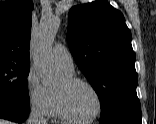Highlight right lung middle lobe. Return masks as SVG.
I'll return each instance as SVG.
<instances>
[{"instance_id":"obj_1","label":"right lung middle lobe","mask_w":156,"mask_h":124,"mask_svg":"<svg viewBox=\"0 0 156 124\" xmlns=\"http://www.w3.org/2000/svg\"><path fill=\"white\" fill-rule=\"evenodd\" d=\"M30 64L0 62V94L29 102L27 77Z\"/></svg>"}]
</instances>
